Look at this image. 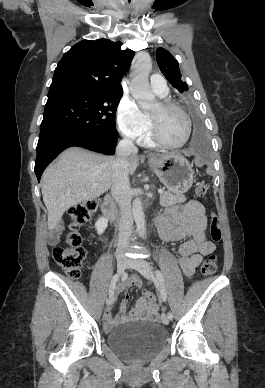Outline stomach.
Masks as SVG:
<instances>
[{"label":"stomach","instance_id":"1","mask_svg":"<svg viewBox=\"0 0 265 388\" xmlns=\"http://www.w3.org/2000/svg\"><path fill=\"white\" fill-rule=\"evenodd\" d=\"M148 163L169 191L182 194L191 188L194 171L182 155L176 153L152 155Z\"/></svg>","mask_w":265,"mask_h":388}]
</instances>
